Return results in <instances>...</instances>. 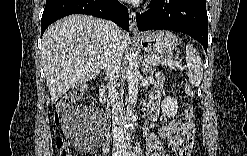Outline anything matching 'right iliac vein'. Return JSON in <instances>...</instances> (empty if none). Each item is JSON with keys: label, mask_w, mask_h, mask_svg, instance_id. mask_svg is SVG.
I'll return each mask as SVG.
<instances>
[{"label": "right iliac vein", "mask_w": 247, "mask_h": 156, "mask_svg": "<svg viewBox=\"0 0 247 156\" xmlns=\"http://www.w3.org/2000/svg\"><path fill=\"white\" fill-rule=\"evenodd\" d=\"M121 146H119V145H116V146H114V148H113V155H115V156H117V155H119L120 153H121Z\"/></svg>", "instance_id": "right-iliac-vein-1"}]
</instances>
